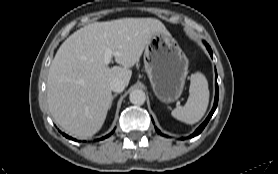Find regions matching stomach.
I'll list each match as a JSON object with an SVG mask.
<instances>
[{
	"label": "stomach",
	"instance_id": "1",
	"mask_svg": "<svg viewBox=\"0 0 278 174\" xmlns=\"http://www.w3.org/2000/svg\"><path fill=\"white\" fill-rule=\"evenodd\" d=\"M144 66L152 89L164 103L182 94L188 73V59L170 33L157 32L144 48Z\"/></svg>",
	"mask_w": 278,
	"mask_h": 174
}]
</instances>
